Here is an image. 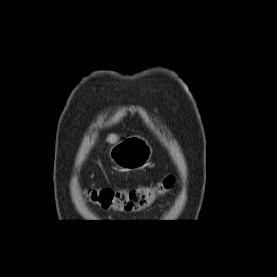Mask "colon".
Masks as SVG:
<instances>
[{"instance_id":"colon-1","label":"colon","mask_w":277,"mask_h":277,"mask_svg":"<svg viewBox=\"0 0 277 277\" xmlns=\"http://www.w3.org/2000/svg\"><path fill=\"white\" fill-rule=\"evenodd\" d=\"M172 185L173 181L166 178L149 187L89 189L87 195L93 203L104 209L137 212L147 208L157 196L167 193Z\"/></svg>"}]
</instances>
